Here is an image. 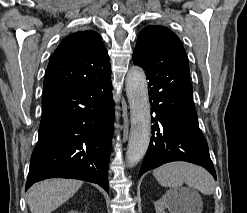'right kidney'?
<instances>
[{
    "label": "right kidney",
    "mask_w": 247,
    "mask_h": 213,
    "mask_svg": "<svg viewBox=\"0 0 247 213\" xmlns=\"http://www.w3.org/2000/svg\"><path fill=\"white\" fill-rule=\"evenodd\" d=\"M68 213H78L77 211L71 210Z\"/></svg>",
    "instance_id": "ca27d5eb"
}]
</instances>
